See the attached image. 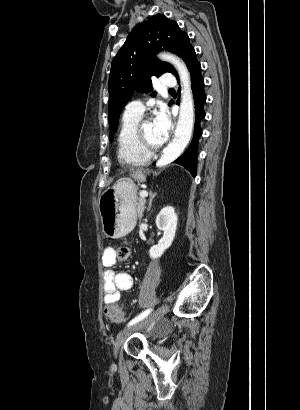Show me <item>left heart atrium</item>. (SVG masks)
I'll use <instances>...</instances> for the list:
<instances>
[{"mask_svg":"<svg viewBox=\"0 0 300 410\" xmlns=\"http://www.w3.org/2000/svg\"><path fill=\"white\" fill-rule=\"evenodd\" d=\"M153 125L159 140L163 143L167 139L171 129L170 117L165 108L160 107L156 111L153 118Z\"/></svg>","mask_w":300,"mask_h":410,"instance_id":"39dd6f15","label":"left heart atrium"}]
</instances>
